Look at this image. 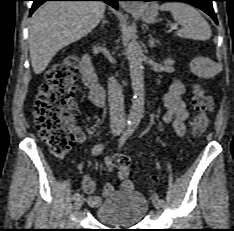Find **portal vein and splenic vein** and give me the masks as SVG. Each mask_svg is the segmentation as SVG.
<instances>
[{
    "mask_svg": "<svg viewBox=\"0 0 234 231\" xmlns=\"http://www.w3.org/2000/svg\"><path fill=\"white\" fill-rule=\"evenodd\" d=\"M172 29H177V25H176V24L173 25V26H172Z\"/></svg>",
    "mask_w": 234,
    "mask_h": 231,
    "instance_id": "obj_1",
    "label": "portal vein and splenic vein"
}]
</instances>
